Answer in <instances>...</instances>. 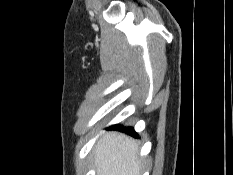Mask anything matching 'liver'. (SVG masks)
<instances>
[{
    "mask_svg": "<svg viewBox=\"0 0 233 175\" xmlns=\"http://www.w3.org/2000/svg\"><path fill=\"white\" fill-rule=\"evenodd\" d=\"M139 147L124 134L109 132L95 145L97 175H140Z\"/></svg>",
    "mask_w": 233,
    "mask_h": 175,
    "instance_id": "1",
    "label": "liver"
}]
</instances>
